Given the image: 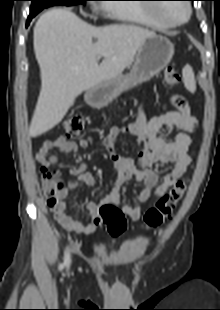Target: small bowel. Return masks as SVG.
<instances>
[{
	"mask_svg": "<svg viewBox=\"0 0 220 310\" xmlns=\"http://www.w3.org/2000/svg\"><path fill=\"white\" fill-rule=\"evenodd\" d=\"M175 109L164 114L147 118L144 109L138 110L135 121L126 127H112L109 133L101 140L107 149L109 157L117 171L113 187L100 202H87L85 210L89 214L90 222L72 217L66 211L64 199L69 192L78 188L81 183L88 186L96 184L95 176L86 171V165L80 164L69 169V180L59 196L58 203L52 207L57 222L67 231L78 234L90 235L102 224L99 214L100 207L106 203L119 204L122 186L135 179L143 183V188L137 197V204L122 205L121 209L131 221L136 222L141 218V205L154 194L159 197L167 192L186 172L191 158L188 149L191 144L190 133L196 128V118L192 115L190 106L180 94L171 98ZM171 135L169 140L162 138L161 133ZM121 134L134 136L143 146L137 158L126 157L114 151V145ZM93 142L92 137L81 139L79 143L59 136L55 140H46L37 151V160L45 169L57 163L58 156L53 153L57 149L63 153H74L79 147L88 149ZM160 161L172 165L160 182L159 176L152 170L155 162Z\"/></svg>",
	"mask_w": 220,
	"mask_h": 310,
	"instance_id": "c3829d8e",
	"label": "small bowel"
}]
</instances>
